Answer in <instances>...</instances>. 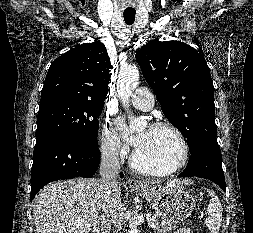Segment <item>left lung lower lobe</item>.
Wrapping results in <instances>:
<instances>
[{
    "instance_id": "1",
    "label": "left lung lower lobe",
    "mask_w": 253,
    "mask_h": 233,
    "mask_svg": "<svg viewBox=\"0 0 253 233\" xmlns=\"http://www.w3.org/2000/svg\"><path fill=\"white\" fill-rule=\"evenodd\" d=\"M193 176L210 179L226 191L219 146L201 144L191 153L187 167L178 177Z\"/></svg>"
}]
</instances>
